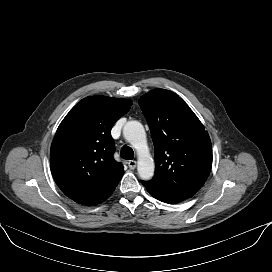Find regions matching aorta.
Instances as JSON below:
<instances>
[{
    "label": "aorta",
    "instance_id": "aorta-1",
    "mask_svg": "<svg viewBox=\"0 0 272 272\" xmlns=\"http://www.w3.org/2000/svg\"><path fill=\"white\" fill-rule=\"evenodd\" d=\"M125 139L136 149L138 154L137 170L142 180H149L154 175V161L150 156L146 132L143 125L135 120L129 121L123 128Z\"/></svg>",
    "mask_w": 272,
    "mask_h": 272
}]
</instances>
